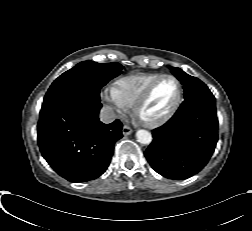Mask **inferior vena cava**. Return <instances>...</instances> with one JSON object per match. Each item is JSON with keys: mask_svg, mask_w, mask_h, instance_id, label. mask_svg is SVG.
Masks as SVG:
<instances>
[{"mask_svg": "<svg viewBox=\"0 0 252 231\" xmlns=\"http://www.w3.org/2000/svg\"><path fill=\"white\" fill-rule=\"evenodd\" d=\"M116 119V114L109 106H103L100 110V121L103 123H111Z\"/></svg>", "mask_w": 252, "mask_h": 231, "instance_id": "obj_1", "label": "inferior vena cava"}]
</instances>
